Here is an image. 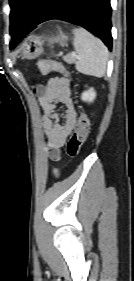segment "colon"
Segmentation results:
<instances>
[{"instance_id": "obj_1", "label": "colon", "mask_w": 134, "mask_h": 281, "mask_svg": "<svg viewBox=\"0 0 134 281\" xmlns=\"http://www.w3.org/2000/svg\"><path fill=\"white\" fill-rule=\"evenodd\" d=\"M38 66L40 72L44 75L55 71L63 74L67 78H70V75L66 71L65 67L57 61L47 59L41 60ZM89 129V118L84 112H81L77 120L74 132L67 143L66 150L69 156L75 157L79 154L84 142L88 137ZM53 173L54 175L58 176L59 171L55 169Z\"/></svg>"}]
</instances>
